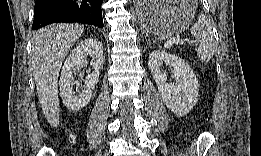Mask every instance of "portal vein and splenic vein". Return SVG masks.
I'll list each match as a JSON object with an SVG mask.
<instances>
[{
    "instance_id": "portal-vein-and-splenic-vein-1",
    "label": "portal vein and splenic vein",
    "mask_w": 261,
    "mask_h": 156,
    "mask_svg": "<svg viewBox=\"0 0 261 156\" xmlns=\"http://www.w3.org/2000/svg\"><path fill=\"white\" fill-rule=\"evenodd\" d=\"M185 42L189 43V44H193V41L191 40H180V39H169L167 41V44L165 45V47H169L173 44H184Z\"/></svg>"
}]
</instances>
